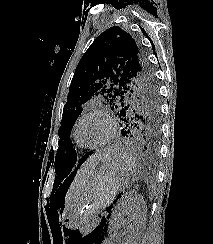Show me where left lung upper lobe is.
Listing matches in <instances>:
<instances>
[{
	"label": "left lung upper lobe",
	"instance_id": "obj_1",
	"mask_svg": "<svg viewBox=\"0 0 213 244\" xmlns=\"http://www.w3.org/2000/svg\"><path fill=\"white\" fill-rule=\"evenodd\" d=\"M103 97L122 121L159 128V96L154 74L132 36L118 26L101 33L80 59L64 106L55 154L57 176L68 173L77 154L70 132L82 105Z\"/></svg>",
	"mask_w": 213,
	"mask_h": 244
}]
</instances>
